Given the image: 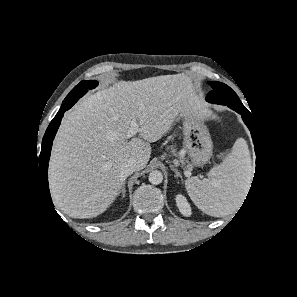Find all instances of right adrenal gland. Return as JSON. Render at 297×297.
Wrapping results in <instances>:
<instances>
[{
	"label": "right adrenal gland",
	"mask_w": 297,
	"mask_h": 297,
	"mask_svg": "<svg viewBox=\"0 0 297 297\" xmlns=\"http://www.w3.org/2000/svg\"><path fill=\"white\" fill-rule=\"evenodd\" d=\"M125 181L123 182L122 188L119 191V194L122 193V197H125L126 189H125Z\"/></svg>",
	"instance_id": "right-adrenal-gland-1"
}]
</instances>
